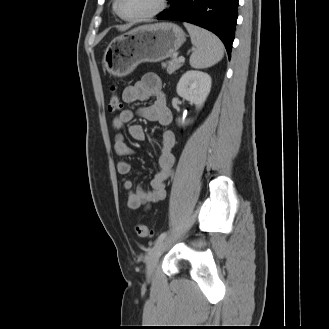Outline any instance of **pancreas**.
<instances>
[{
	"mask_svg": "<svg viewBox=\"0 0 329 329\" xmlns=\"http://www.w3.org/2000/svg\"><path fill=\"white\" fill-rule=\"evenodd\" d=\"M183 65V62H180L178 58H173L167 63L163 64V67L167 69L169 74H172L176 70H178Z\"/></svg>",
	"mask_w": 329,
	"mask_h": 329,
	"instance_id": "cf45deb5",
	"label": "pancreas"
}]
</instances>
